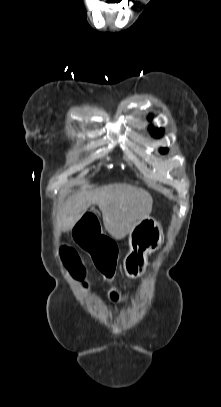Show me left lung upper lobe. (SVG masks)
Masks as SVG:
<instances>
[{
	"mask_svg": "<svg viewBox=\"0 0 221 407\" xmlns=\"http://www.w3.org/2000/svg\"><path fill=\"white\" fill-rule=\"evenodd\" d=\"M163 134V130L162 129H154L152 131V135L154 137H160ZM162 153H165L167 151V149H161L160 150Z\"/></svg>",
	"mask_w": 221,
	"mask_h": 407,
	"instance_id": "left-lung-upper-lobe-1",
	"label": "left lung upper lobe"
}]
</instances>
